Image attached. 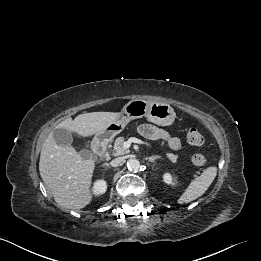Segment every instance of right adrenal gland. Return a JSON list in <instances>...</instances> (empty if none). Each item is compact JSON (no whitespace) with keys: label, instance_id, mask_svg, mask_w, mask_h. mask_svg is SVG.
<instances>
[{"label":"right adrenal gland","instance_id":"obj_1","mask_svg":"<svg viewBox=\"0 0 261 261\" xmlns=\"http://www.w3.org/2000/svg\"><path fill=\"white\" fill-rule=\"evenodd\" d=\"M102 166H103V167L110 168L109 164H107V163H104Z\"/></svg>","mask_w":261,"mask_h":261}]
</instances>
